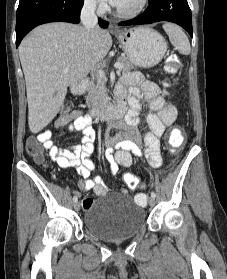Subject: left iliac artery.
I'll return each instance as SVG.
<instances>
[{"label": "left iliac artery", "mask_w": 227, "mask_h": 279, "mask_svg": "<svg viewBox=\"0 0 227 279\" xmlns=\"http://www.w3.org/2000/svg\"><path fill=\"white\" fill-rule=\"evenodd\" d=\"M151 197H156V194L154 192H151Z\"/></svg>", "instance_id": "left-iliac-artery-1"}]
</instances>
